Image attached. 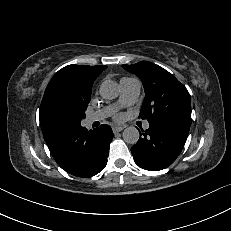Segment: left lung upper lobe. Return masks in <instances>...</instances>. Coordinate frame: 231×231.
Returning <instances> with one entry per match:
<instances>
[{
  "label": "left lung upper lobe",
  "mask_w": 231,
  "mask_h": 231,
  "mask_svg": "<svg viewBox=\"0 0 231 231\" xmlns=\"http://www.w3.org/2000/svg\"><path fill=\"white\" fill-rule=\"evenodd\" d=\"M122 67L143 83L146 95L140 118L148 121L165 118L191 124L189 92L171 73L148 61Z\"/></svg>",
  "instance_id": "obj_1"
}]
</instances>
